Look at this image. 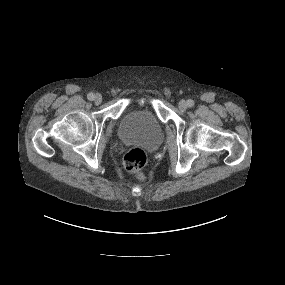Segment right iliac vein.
<instances>
[{
    "label": "right iliac vein",
    "mask_w": 285,
    "mask_h": 285,
    "mask_svg": "<svg viewBox=\"0 0 285 285\" xmlns=\"http://www.w3.org/2000/svg\"><path fill=\"white\" fill-rule=\"evenodd\" d=\"M94 102H95L96 104H100V103L102 102V96H101L100 94H96V95L94 96Z\"/></svg>",
    "instance_id": "obj_1"
}]
</instances>
